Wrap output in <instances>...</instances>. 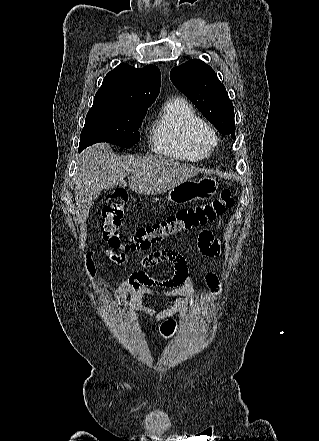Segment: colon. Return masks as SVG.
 <instances>
[{
	"label": "colon",
	"mask_w": 319,
	"mask_h": 441,
	"mask_svg": "<svg viewBox=\"0 0 319 441\" xmlns=\"http://www.w3.org/2000/svg\"><path fill=\"white\" fill-rule=\"evenodd\" d=\"M127 201V192L124 189H117L108 196L102 210L103 241L110 249L121 251L120 255H112L117 261H121L127 252L147 250L166 238L204 226L222 216L235 203L231 190L224 189L211 201L180 209L160 222L137 229L129 239L125 240L120 227ZM206 233V230H203L201 235ZM88 267L92 273V265L89 264ZM176 325L175 320L169 319L160 326V333L164 337H170Z\"/></svg>",
	"instance_id": "obj_1"
}]
</instances>
